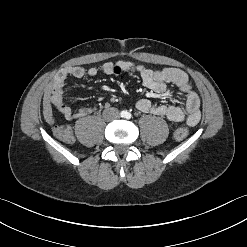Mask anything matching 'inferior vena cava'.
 I'll use <instances>...</instances> for the list:
<instances>
[{
    "label": "inferior vena cava",
    "mask_w": 247,
    "mask_h": 247,
    "mask_svg": "<svg viewBox=\"0 0 247 247\" xmlns=\"http://www.w3.org/2000/svg\"><path fill=\"white\" fill-rule=\"evenodd\" d=\"M103 117L107 120H113L120 117L119 111L116 108H109L104 110Z\"/></svg>",
    "instance_id": "602c4592"
}]
</instances>
